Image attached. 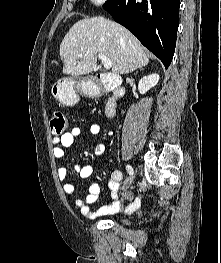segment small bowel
<instances>
[{
  "mask_svg": "<svg viewBox=\"0 0 221 263\" xmlns=\"http://www.w3.org/2000/svg\"><path fill=\"white\" fill-rule=\"evenodd\" d=\"M102 126L100 124H92L89 128V132L93 136H97L101 133ZM82 135V130L79 127L71 129L59 138L53 139V156L55 159H62L65 155V149L73 145L74 140ZM93 151L96 155L101 156L106 151V146L102 141H96L93 143ZM75 172L81 178H88L92 174V167L90 165H76L74 166ZM58 178L63 182V191L67 195H72L75 192V186L67 182L68 170L65 167H60L57 170ZM123 180L122 172L113 170L109 176V188L111 190L112 203L99 208L96 212H92L89 205L95 203L101 193V186L99 183H92L89 186L88 195L85 198H76L75 205L78 207L82 214L88 217H97L110 215L124 210L125 212H133L140 206L139 198H134L131 193L124 191L123 198L128 202L126 206H123L119 200L118 193L120 191V183Z\"/></svg>",
  "mask_w": 221,
  "mask_h": 263,
  "instance_id": "1",
  "label": "small bowel"
}]
</instances>
